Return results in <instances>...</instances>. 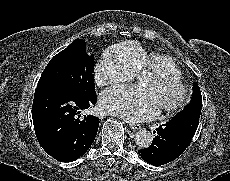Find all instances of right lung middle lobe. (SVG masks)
Instances as JSON below:
<instances>
[{
	"mask_svg": "<svg viewBox=\"0 0 230 181\" xmlns=\"http://www.w3.org/2000/svg\"><path fill=\"white\" fill-rule=\"evenodd\" d=\"M93 72L94 56L86 54L82 39H76L50 60L38 81L35 94L60 90L95 96Z\"/></svg>",
	"mask_w": 230,
	"mask_h": 181,
	"instance_id": "1",
	"label": "right lung middle lobe"
}]
</instances>
